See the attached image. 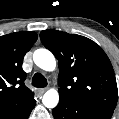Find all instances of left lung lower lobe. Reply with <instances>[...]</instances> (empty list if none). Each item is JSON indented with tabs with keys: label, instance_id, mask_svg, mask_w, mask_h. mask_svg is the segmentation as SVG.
Returning <instances> with one entry per match:
<instances>
[{
	"label": "left lung lower lobe",
	"instance_id": "0a47b994",
	"mask_svg": "<svg viewBox=\"0 0 119 119\" xmlns=\"http://www.w3.org/2000/svg\"><path fill=\"white\" fill-rule=\"evenodd\" d=\"M113 111L97 108H84L78 104L60 99L53 109L55 119H111Z\"/></svg>",
	"mask_w": 119,
	"mask_h": 119
}]
</instances>
